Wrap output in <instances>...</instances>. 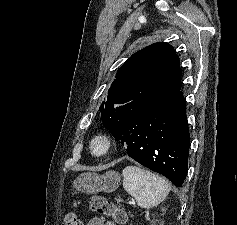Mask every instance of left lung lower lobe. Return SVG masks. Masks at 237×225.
I'll use <instances>...</instances> for the list:
<instances>
[{
  "label": "left lung lower lobe",
  "mask_w": 237,
  "mask_h": 225,
  "mask_svg": "<svg viewBox=\"0 0 237 225\" xmlns=\"http://www.w3.org/2000/svg\"><path fill=\"white\" fill-rule=\"evenodd\" d=\"M114 137L128 156L182 186L190 147L182 92L135 113Z\"/></svg>",
  "instance_id": "left-lung-lower-lobe-1"
}]
</instances>
